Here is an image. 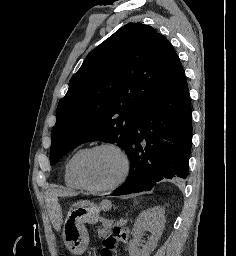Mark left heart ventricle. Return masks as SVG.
Listing matches in <instances>:
<instances>
[{
    "instance_id": "obj_1",
    "label": "left heart ventricle",
    "mask_w": 236,
    "mask_h": 256,
    "mask_svg": "<svg viewBox=\"0 0 236 256\" xmlns=\"http://www.w3.org/2000/svg\"><path fill=\"white\" fill-rule=\"evenodd\" d=\"M123 169L122 159L112 149H102L91 154L84 164V177L92 187H105L120 177Z\"/></svg>"
}]
</instances>
